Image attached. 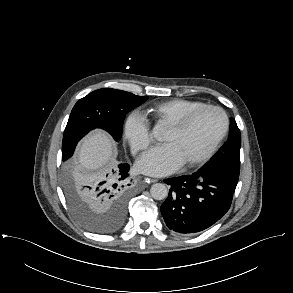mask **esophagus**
<instances>
[{
	"label": "esophagus",
	"instance_id": "obj_1",
	"mask_svg": "<svg viewBox=\"0 0 293 293\" xmlns=\"http://www.w3.org/2000/svg\"><path fill=\"white\" fill-rule=\"evenodd\" d=\"M145 180H148V181L151 182V183H156V182H158L157 179H153V178H145Z\"/></svg>",
	"mask_w": 293,
	"mask_h": 293
}]
</instances>
